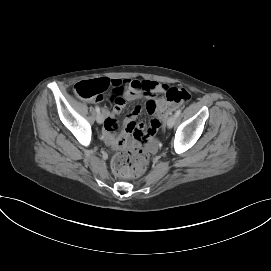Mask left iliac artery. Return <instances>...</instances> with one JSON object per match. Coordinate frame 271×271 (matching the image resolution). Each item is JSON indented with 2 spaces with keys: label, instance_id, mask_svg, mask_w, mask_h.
I'll use <instances>...</instances> for the list:
<instances>
[{
  "label": "left iliac artery",
  "instance_id": "44dca946",
  "mask_svg": "<svg viewBox=\"0 0 271 271\" xmlns=\"http://www.w3.org/2000/svg\"><path fill=\"white\" fill-rule=\"evenodd\" d=\"M180 114H181V109H178V110L175 112V116H176V117H179Z\"/></svg>",
  "mask_w": 271,
  "mask_h": 271
}]
</instances>
